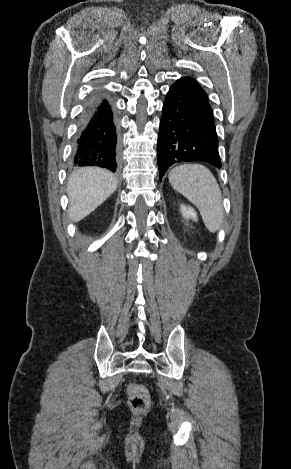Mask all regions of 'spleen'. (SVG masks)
<instances>
[{"label":"spleen","mask_w":291,"mask_h":469,"mask_svg":"<svg viewBox=\"0 0 291 469\" xmlns=\"http://www.w3.org/2000/svg\"><path fill=\"white\" fill-rule=\"evenodd\" d=\"M168 179L177 192L198 208L207 229L218 231L224 208L220 187L210 170L200 164H184L173 168Z\"/></svg>","instance_id":"1"}]
</instances>
